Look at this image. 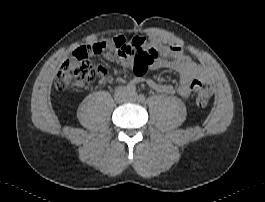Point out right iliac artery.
Masks as SVG:
<instances>
[{"label": "right iliac artery", "mask_w": 265, "mask_h": 202, "mask_svg": "<svg viewBox=\"0 0 265 202\" xmlns=\"http://www.w3.org/2000/svg\"><path fill=\"white\" fill-rule=\"evenodd\" d=\"M126 90H127V92H129L131 94H134L136 92V86H135V84H133L132 82L128 83L126 85Z\"/></svg>", "instance_id": "1"}]
</instances>
